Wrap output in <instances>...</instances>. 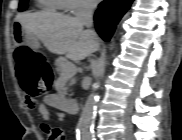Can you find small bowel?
<instances>
[{"label": "small bowel", "instance_id": "1", "mask_svg": "<svg viewBox=\"0 0 182 140\" xmlns=\"http://www.w3.org/2000/svg\"><path fill=\"white\" fill-rule=\"evenodd\" d=\"M26 104L30 109L37 108L39 114L43 122L40 125L41 130L46 134L48 140H62V131L59 128H52L48 122L51 120V113L48 107L41 103V104H32L31 102L26 100Z\"/></svg>", "mask_w": 182, "mask_h": 140}]
</instances>
